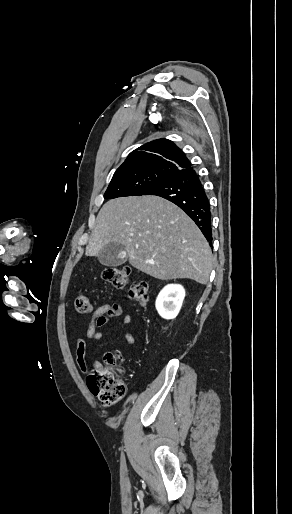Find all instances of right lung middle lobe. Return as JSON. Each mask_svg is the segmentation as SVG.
<instances>
[{"mask_svg":"<svg viewBox=\"0 0 292 514\" xmlns=\"http://www.w3.org/2000/svg\"><path fill=\"white\" fill-rule=\"evenodd\" d=\"M169 176L170 174L165 172L113 175L104 194V198L113 199L123 196H141Z\"/></svg>","mask_w":292,"mask_h":514,"instance_id":"obj_1","label":"right lung middle lobe"}]
</instances>
